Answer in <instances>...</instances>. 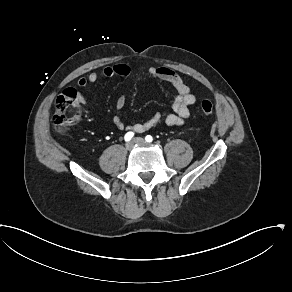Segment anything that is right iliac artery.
Here are the masks:
<instances>
[{"label":"right iliac artery","mask_w":292,"mask_h":292,"mask_svg":"<svg viewBox=\"0 0 292 292\" xmlns=\"http://www.w3.org/2000/svg\"><path fill=\"white\" fill-rule=\"evenodd\" d=\"M134 136L133 132H127L124 136L125 141H130Z\"/></svg>","instance_id":"1"}]
</instances>
